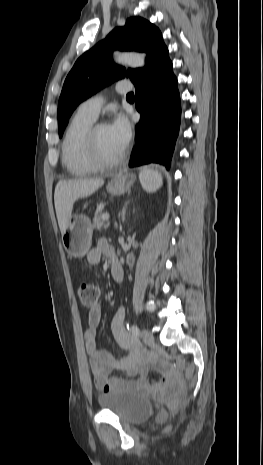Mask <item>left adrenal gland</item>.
Returning <instances> with one entry per match:
<instances>
[{
	"label": "left adrenal gland",
	"instance_id": "a2214340",
	"mask_svg": "<svg viewBox=\"0 0 263 465\" xmlns=\"http://www.w3.org/2000/svg\"><path fill=\"white\" fill-rule=\"evenodd\" d=\"M126 208H127V204L125 205V207H124V209L122 210V213H121L123 222L125 221Z\"/></svg>",
	"mask_w": 263,
	"mask_h": 465
}]
</instances>
